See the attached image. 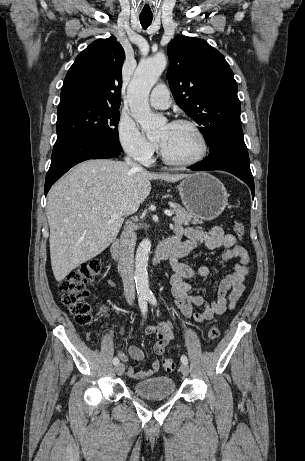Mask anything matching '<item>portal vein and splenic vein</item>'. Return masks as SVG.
<instances>
[{"mask_svg":"<svg viewBox=\"0 0 305 461\" xmlns=\"http://www.w3.org/2000/svg\"><path fill=\"white\" fill-rule=\"evenodd\" d=\"M165 215H167L168 217H172L173 216V213L170 211V210H165L164 211ZM120 215H111V218H118Z\"/></svg>","mask_w":305,"mask_h":461,"instance_id":"1","label":"portal vein and splenic vein"}]
</instances>
